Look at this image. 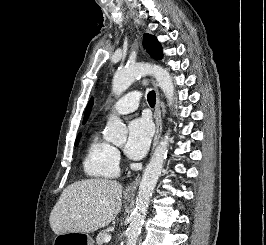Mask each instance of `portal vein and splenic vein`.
<instances>
[{"label": "portal vein and splenic vein", "instance_id": "18ae733b", "mask_svg": "<svg viewBox=\"0 0 266 245\" xmlns=\"http://www.w3.org/2000/svg\"><path fill=\"white\" fill-rule=\"evenodd\" d=\"M111 239H112L111 235H106V237H104V243H109Z\"/></svg>", "mask_w": 266, "mask_h": 245}]
</instances>
